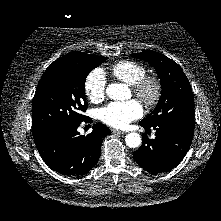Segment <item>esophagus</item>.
<instances>
[{
    "label": "esophagus",
    "instance_id": "34e87169",
    "mask_svg": "<svg viewBox=\"0 0 221 221\" xmlns=\"http://www.w3.org/2000/svg\"><path fill=\"white\" fill-rule=\"evenodd\" d=\"M111 131H112V133H115V134H124L125 133L124 131L118 130V129H112Z\"/></svg>",
    "mask_w": 221,
    "mask_h": 221
}]
</instances>
